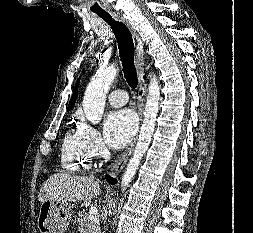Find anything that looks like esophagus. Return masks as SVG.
Masks as SVG:
<instances>
[{
  "mask_svg": "<svg viewBox=\"0 0 253 233\" xmlns=\"http://www.w3.org/2000/svg\"><path fill=\"white\" fill-rule=\"evenodd\" d=\"M122 20L125 22L127 27L129 28L133 40H134V45H135V64H136V69L138 73V79H139V89L145 91L146 85L143 80V75H144V67H143V62H144V50H143V43L141 39L139 38L138 34L136 33L134 27L131 25V23L126 20L124 17H122ZM144 105H145V98L144 95H140L138 97L137 101V108H138V114L140 117V122H142V117H143V111H144ZM135 145V141L131 144V146L124 151L116 160L115 164L111 168V175L113 177H116L120 174V172L123 170L125 167L129 157L132 154L133 148Z\"/></svg>",
  "mask_w": 253,
  "mask_h": 233,
  "instance_id": "esophagus-1",
  "label": "esophagus"
}]
</instances>
